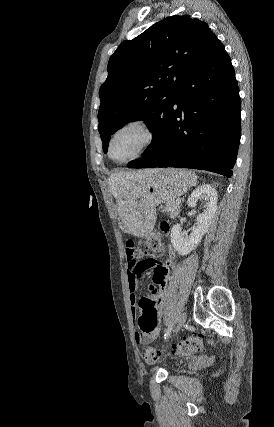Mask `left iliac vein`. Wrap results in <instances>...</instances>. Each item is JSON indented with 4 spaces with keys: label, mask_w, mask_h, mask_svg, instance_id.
Returning <instances> with one entry per match:
<instances>
[{
    "label": "left iliac vein",
    "mask_w": 274,
    "mask_h": 427,
    "mask_svg": "<svg viewBox=\"0 0 274 427\" xmlns=\"http://www.w3.org/2000/svg\"><path fill=\"white\" fill-rule=\"evenodd\" d=\"M187 319V315L185 312L181 313L178 321H177V327L175 329V334L172 336V339H174L175 335L182 329Z\"/></svg>",
    "instance_id": "1"
}]
</instances>
